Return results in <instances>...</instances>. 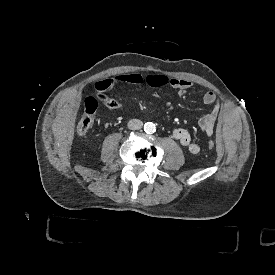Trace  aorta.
<instances>
[{
    "label": "aorta",
    "instance_id": "1",
    "mask_svg": "<svg viewBox=\"0 0 275 275\" xmlns=\"http://www.w3.org/2000/svg\"><path fill=\"white\" fill-rule=\"evenodd\" d=\"M144 131L145 133L147 134H152L156 131V127H155V124L152 123V122H147L145 123L144 125Z\"/></svg>",
    "mask_w": 275,
    "mask_h": 275
}]
</instances>
